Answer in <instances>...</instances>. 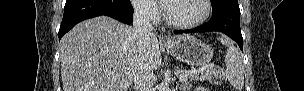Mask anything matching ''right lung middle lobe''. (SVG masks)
I'll use <instances>...</instances> for the list:
<instances>
[{
	"label": "right lung middle lobe",
	"mask_w": 304,
	"mask_h": 91,
	"mask_svg": "<svg viewBox=\"0 0 304 91\" xmlns=\"http://www.w3.org/2000/svg\"><path fill=\"white\" fill-rule=\"evenodd\" d=\"M116 2H119V3H126V2H129V0H116Z\"/></svg>",
	"instance_id": "1"
}]
</instances>
